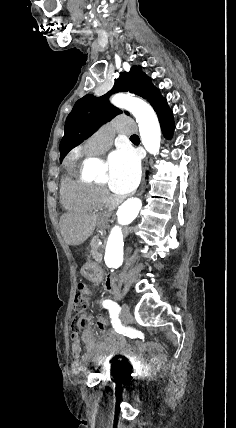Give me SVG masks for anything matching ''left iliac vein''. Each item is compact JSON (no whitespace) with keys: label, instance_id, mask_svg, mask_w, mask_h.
Masks as SVG:
<instances>
[{"label":"left iliac vein","instance_id":"obj_1","mask_svg":"<svg viewBox=\"0 0 236 428\" xmlns=\"http://www.w3.org/2000/svg\"><path fill=\"white\" fill-rule=\"evenodd\" d=\"M122 308H121V315H122V318H121V323L125 326V328L126 327H128L129 326V324H130V317H131V310H130V308L128 307V305H127V303H122Z\"/></svg>","mask_w":236,"mask_h":428}]
</instances>
